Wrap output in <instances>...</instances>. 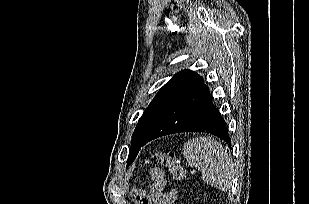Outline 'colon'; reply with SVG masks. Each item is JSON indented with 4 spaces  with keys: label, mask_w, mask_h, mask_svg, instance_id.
Listing matches in <instances>:
<instances>
[{
    "label": "colon",
    "mask_w": 309,
    "mask_h": 204,
    "mask_svg": "<svg viewBox=\"0 0 309 204\" xmlns=\"http://www.w3.org/2000/svg\"><path fill=\"white\" fill-rule=\"evenodd\" d=\"M150 163L158 164L168 169L176 183L182 182L185 178V171L175 153L171 150L156 152L150 158ZM137 202L138 204H148V199L143 196H139L137 198Z\"/></svg>",
    "instance_id": "colon-1"
}]
</instances>
